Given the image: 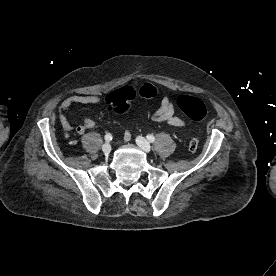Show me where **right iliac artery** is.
I'll use <instances>...</instances> for the list:
<instances>
[{
    "label": "right iliac artery",
    "instance_id": "82829eb1",
    "mask_svg": "<svg viewBox=\"0 0 276 276\" xmlns=\"http://www.w3.org/2000/svg\"><path fill=\"white\" fill-rule=\"evenodd\" d=\"M105 140H106L107 142L111 141V140H112V135H111L110 133L106 134V135H105Z\"/></svg>",
    "mask_w": 276,
    "mask_h": 276
}]
</instances>
